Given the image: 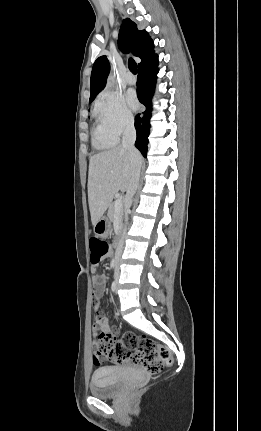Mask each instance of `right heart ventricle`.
I'll return each instance as SVG.
<instances>
[{
  "instance_id": "right-heart-ventricle-1",
  "label": "right heart ventricle",
  "mask_w": 261,
  "mask_h": 431,
  "mask_svg": "<svg viewBox=\"0 0 261 431\" xmlns=\"http://www.w3.org/2000/svg\"><path fill=\"white\" fill-rule=\"evenodd\" d=\"M118 137L111 134L103 124L100 114L95 112V127L93 130V143L98 149H109L116 145Z\"/></svg>"
}]
</instances>
